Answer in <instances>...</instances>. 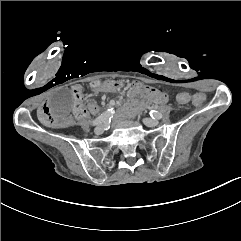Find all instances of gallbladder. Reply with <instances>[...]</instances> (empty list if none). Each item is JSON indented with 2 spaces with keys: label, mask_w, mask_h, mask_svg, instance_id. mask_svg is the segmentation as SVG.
<instances>
[{
  "label": "gallbladder",
  "mask_w": 241,
  "mask_h": 241,
  "mask_svg": "<svg viewBox=\"0 0 241 241\" xmlns=\"http://www.w3.org/2000/svg\"><path fill=\"white\" fill-rule=\"evenodd\" d=\"M53 113L58 118H65L74 111V94L69 89H62L52 98Z\"/></svg>",
  "instance_id": "bac80fb5"
}]
</instances>
